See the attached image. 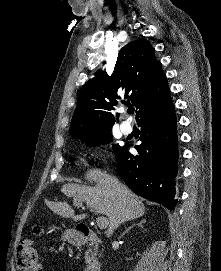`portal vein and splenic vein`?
<instances>
[{
  "label": "portal vein and splenic vein",
  "mask_w": 221,
  "mask_h": 271,
  "mask_svg": "<svg viewBox=\"0 0 221 271\" xmlns=\"http://www.w3.org/2000/svg\"><path fill=\"white\" fill-rule=\"evenodd\" d=\"M97 225L100 229H106L107 225H109V219L101 215V217H96Z\"/></svg>",
  "instance_id": "1"
}]
</instances>
